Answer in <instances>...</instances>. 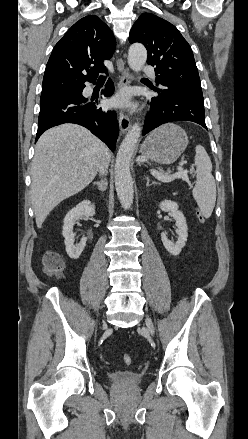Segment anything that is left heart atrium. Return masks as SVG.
I'll list each match as a JSON object with an SVG mask.
<instances>
[{
	"label": "left heart atrium",
	"mask_w": 248,
	"mask_h": 439,
	"mask_svg": "<svg viewBox=\"0 0 248 439\" xmlns=\"http://www.w3.org/2000/svg\"><path fill=\"white\" fill-rule=\"evenodd\" d=\"M114 106L118 107H128L130 106L129 93L121 92L112 101Z\"/></svg>",
	"instance_id": "1"
}]
</instances>
